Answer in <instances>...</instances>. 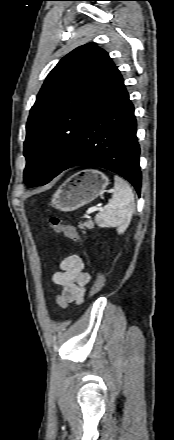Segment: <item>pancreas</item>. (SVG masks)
<instances>
[{
	"instance_id": "obj_1",
	"label": "pancreas",
	"mask_w": 174,
	"mask_h": 440,
	"mask_svg": "<svg viewBox=\"0 0 174 440\" xmlns=\"http://www.w3.org/2000/svg\"><path fill=\"white\" fill-rule=\"evenodd\" d=\"M79 227H80L81 229H85V228L93 229V228H94V222L91 221V220H89V221H86V222H84V223H80V224H79Z\"/></svg>"
}]
</instances>
